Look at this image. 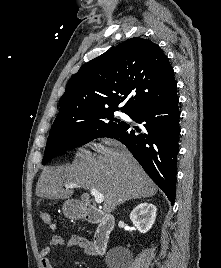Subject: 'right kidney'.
<instances>
[{"label":"right kidney","mask_w":221,"mask_h":268,"mask_svg":"<svg viewBox=\"0 0 221 268\" xmlns=\"http://www.w3.org/2000/svg\"><path fill=\"white\" fill-rule=\"evenodd\" d=\"M156 207L151 203H140L130 213V219L141 233L148 232L156 218Z\"/></svg>","instance_id":"ca27d5eb"}]
</instances>
